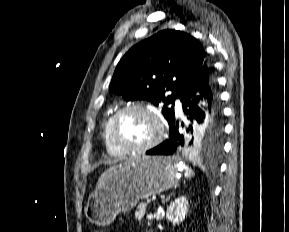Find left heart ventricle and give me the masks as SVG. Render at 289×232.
<instances>
[{
  "label": "left heart ventricle",
  "instance_id": "1",
  "mask_svg": "<svg viewBox=\"0 0 289 232\" xmlns=\"http://www.w3.org/2000/svg\"><path fill=\"white\" fill-rule=\"evenodd\" d=\"M155 134L153 119L142 111H128L119 118L117 136L123 144L142 146L151 141Z\"/></svg>",
  "mask_w": 289,
  "mask_h": 232
}]
</instances>
